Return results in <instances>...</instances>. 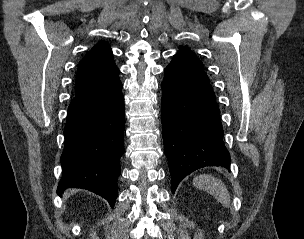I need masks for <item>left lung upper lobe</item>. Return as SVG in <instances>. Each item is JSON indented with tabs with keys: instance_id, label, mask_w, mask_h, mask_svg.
I'll list each match as a JSON object with an SVG mask.
<instances>
[{
	"instance_id": "1",
	"label": "left lung upper lobe",
	"mask_w": 304,
	"mask_h": 239,
	"mask_svg": "<svg viewBox=\"0 0 304 239\" xmlns=\"http://www.w3.org/2000/svg\"><path fill=\"white\" fill-rule=\"evenodd\" d=\"M183 53H178L188 59L191 63L203 69L202 62L187 48L181 47Z\"/></svg>"
}]
</instances>
